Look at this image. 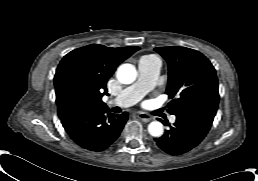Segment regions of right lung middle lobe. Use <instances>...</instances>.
Here are the masks:
<instances>
[{
	"instance_id": "right-lung-middle-lobe-1",
	"label": "right lung middle lobe",
	"mask_w": 258,
	"mask_h": 181,
	"mask_svg": "<svg viewBox=\"0 0 258 181\" xmlns=\"http://www.w3.org/2000/svg\"><path fill=\"white\" fill-rule=\"evenodd\" d=\"M87 108H93V105L78 93L73 92L65 99L64 109L66 111Z\"/></svg>"
}]
</instances>
